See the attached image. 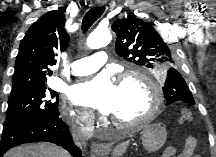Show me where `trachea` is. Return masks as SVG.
<instances>
[{
  "instance_id": "trachea-1",
  "label": "trachea",
  "mask_w": 216,
  "mask_h": 157,
  "mask_svg": "<svg viewBox=\"0 0 216 157\" xmlns=\"http://www.w3.org/2000/svg\"><path fill=\"white\" fill-rule=\"evenodd\" d=\"M105 11V7H93L91 8L84 16L83 21H82V30L86 31L88 28H90L95 21H97V19L99 17H101V15L103 14V12Z\"/></svg>"
}]
</instances>
